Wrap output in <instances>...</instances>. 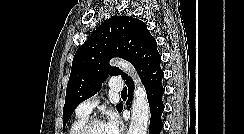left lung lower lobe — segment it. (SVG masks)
Masks as SVG:
<instances>
[{
    "label": "left lung lower lobe",
    "mask_w": 244,
    "mask_h": 134,
    "mask_svg": "<svg viewBox=\"0 0 244 134\" xmlns=\"http://www.w3.org/2000/svg\"><path fill=\"white\" fill-rule=\"evenodd\" d=\"M162 78L163 75H156L152 77L145 86L147 92V99L151 111L149 134H160L163 128V123L161 120V115L162 112L164 111V104L162 102V96L164 94V88L161 84ZM128 88H129V95H128L127 104H130L132 100L133 87H128ZM121 110L122 108L120 109V111Z\"/></svg>",
    "instance_id": "obj_1"
}]
</instances>
